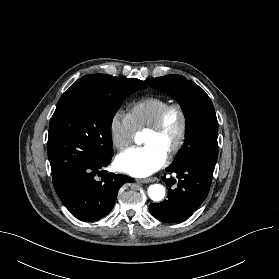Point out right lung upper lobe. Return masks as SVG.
Here are the masks:
<instances>
[{"label": "right lung upper lobe", "instance_id": "right-lung-upper-lobe-1", "mask_svg": "<svg viewBox=\"0 0 279 279\" xmlns=\"http://www.w3.org/2000/svg\"><path fill=\"white\" fill-rule=\"evenodd\" d=\"M143 82V81H142ZM143 85L145 86V88L147 87L146 84L143 82Z\"/></svg>", "mask_w": 279, "mask_h": 279}]
</instances>
